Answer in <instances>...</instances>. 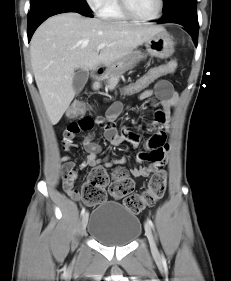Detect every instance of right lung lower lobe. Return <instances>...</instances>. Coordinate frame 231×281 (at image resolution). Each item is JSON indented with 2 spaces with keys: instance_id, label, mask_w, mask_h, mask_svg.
<instances>
[{
  "instance_id": "right-lung-lower-lobe-1",
  "label": "right lung lower lobe",
  "mask_w": 231,
  "mask_h": 281,
  "mask_svg": "<svg viewBox=\"0 0 231 281\" xmlns=\"http://www.w3.org/2000/svg\"><path fill=\"white\" fill-rule=\"evenodd\" d=\"M65 12H77L87 17H93L85 0H31L28 13V41L44 20Z\"/></svg>"
}]
</instances>
